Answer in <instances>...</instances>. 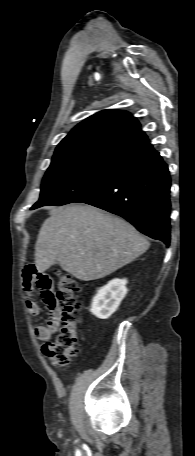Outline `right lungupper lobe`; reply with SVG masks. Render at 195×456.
Masks as SVG:
<instances>
[{
	"instance_id": "1",
	"label": "right lung upper lobe",
	"mask_w": 195,
	"mask_h": 456,
	"mask_svg": "<svg viewBox=\"0 0 195 456\" xmlns=\"http://www.w3.org/2000/svg\"><path fill=\"white\" fill-rule=\"evenodd\" d=\"M155 152L130 113L103 110L72 129L57 146L52 163L89 160L124 168Z\"/></svg>"
}]
</instances>
